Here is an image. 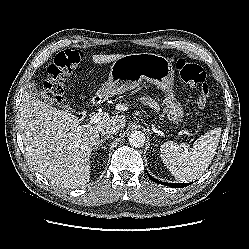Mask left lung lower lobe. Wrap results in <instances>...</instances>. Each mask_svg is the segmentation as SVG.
<instances>
[{"label": "left lung lower lobe", "instance_id": "0a47b994", "mask_svg": "<svg viewBox=\"0 0 249 249\" xmlns=\"http://www.w3.org/2000/svg\"><path fill=\"white\" fill-rule=\"evenodd\" d=\"M148 176L155 183L162 184V185H165V186H169V187H172V188H182V187H185V186L189 185V183H166V182H160V181L156 180L155 178H153L152 176H150L149 174H148Z\"/></svg>", "mask_w": 249, "mask_h": 249}]
</instances>
